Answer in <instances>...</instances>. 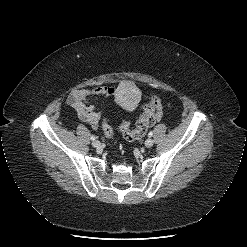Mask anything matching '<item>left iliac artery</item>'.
<instances>
[{"label": "left iliac artery", "mask_w": 247, "mask_h": 247, "mask_svg": "<svg viewBox=\"0 0 247 247\" xmlns=\"http://www.w3.org/2000/svg\"><path fill=\"white\" fill-rule=\"evenodd\" d=\"M148 136H149V137H152V136H153V131H150V132L148 133Z\"/></svg>", "instance_id": "1"}]
</instances>
